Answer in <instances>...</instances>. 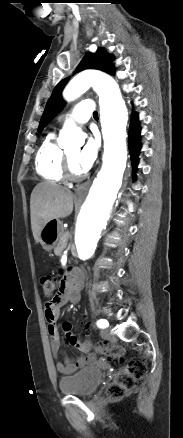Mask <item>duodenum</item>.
<instances>
[{
    "label": "duodenum",
    "instance_id": "obj_1",
    "mask_svg": "<svg viewBox=\"0 0 183 438\" xmlns=\"http://www.w3.org/2000/svg\"><path fill=\"white\" fill-rule=\"evenodd\" d=\"M75 285H76L77 287H80V284H79L78 282H75Z\"/></svg>",
    "mask_w": 183,
    "mask_h": 438
}]
</instances>
